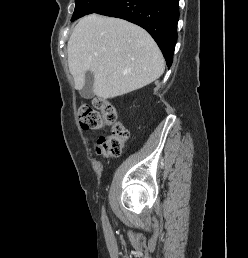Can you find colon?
I'll use <instances>...</instances> for the list:
<instances>
[{
  "mask_svg": "<svg viewBox=\"0 0 248 258\" xmlns=\"http://www.w3.org/2000/svg\"><path fill=\"white\" fill-rule=\"evenodd\" d=\"M78 121L85 129L110 128L106 136L96 140V152L105 157H117L121 154L124 142L128 138L126 127L118 120L114 105L104 99L97 98L93 106L81 104L77 109Z\"/></svg>",
  "mask_w": 248,
  "mask_h": 258,
  "instance_id": "colon-1",
  "label": "colon"
}]
</instances>
